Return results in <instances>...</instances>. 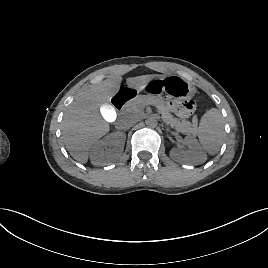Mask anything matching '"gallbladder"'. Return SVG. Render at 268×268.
Here are the masks:
<instances>
[{"mask_svg": "<svg viewBox=\"0 0 268 268\" xmlns=\"http://www.w3.org/2000/svg\"><path fill=\"white\" fill-rule=\"evenodd\" d=\"M98 111L105 121L111 122L116 119V110L108 102H102L98 106Z\"/></svg>", "mask_w": 268, "mask_h": 268, "instance_id": "1", "label": "gallbladder"}]
</instances>
